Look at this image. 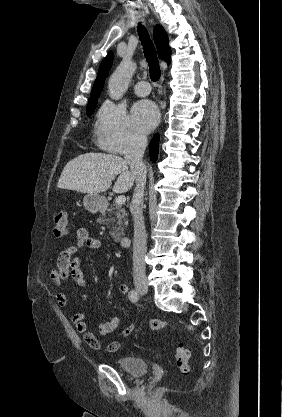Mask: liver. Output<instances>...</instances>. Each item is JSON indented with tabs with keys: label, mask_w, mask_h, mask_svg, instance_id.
Segmentation results:
<instances>
[{
	"label": "liver",
	"mask_w": 282,
	"mask_h": 417,
	"mask_svg": "<svg viewBox=\"0 0 282 417\" xmlns=\"http://www.w3.org/2000/svg\"><path fill=\"white\" fill-rule=\"evenodd\" d=\"M128 168L127 160L116 154L86 152L67 162L57 186L98 194L110 188L111 180L119 174L113 190L114 192H127L135 180L133 172Z\"/></svg>",
	"instance_id": "6515ba94"
}]
</instances>
